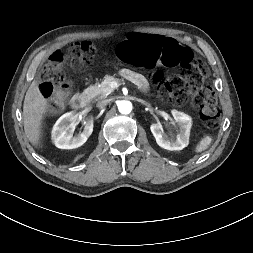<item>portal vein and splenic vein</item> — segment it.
Here are the masks:
<instances>
[{
    "instance_id": "obj_1",
    "label": "portal vein and splenic vein",
    "mask_w": 253,
    "mask_h": 253,
    "mask_svg": "<svg viewBox=\"0 0 253 253\" xmlns=\"http://www.w3.org/2000/svg\"><path fill=\"white\" fill-rule=\"evenodd\" d=\"M112 88H117L119 84L117 82H112L111 83Z\"/></svg>"
}]
</instances>
